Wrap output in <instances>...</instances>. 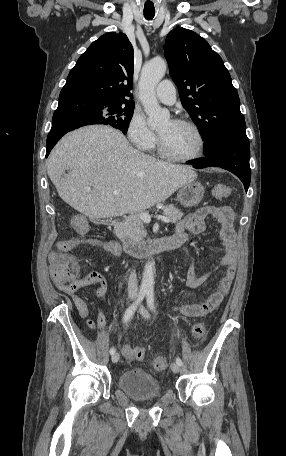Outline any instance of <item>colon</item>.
<instances>
[{
    "instance_id": "1",
    "label": "colon",
    "mask_w": 286,
    "mask_h": 456,
    "mask_svg": "<svg viewBox=\"0 0 286 456\" xmlns=\"http://www.w3.org/2000/svg\"><path fill=\"white\" fill-rule=\"evenodd\" d=\"M216 198L226 197L231 193L227 185H217L212 189ZM74 229L81 234L88 232L87 222L82 217H75L73 220ZM51 274L54 280L69 289H76L85 278V275L77 261L68 255H58L54 258L51 265ZM192 334L196 339H202L206 334V326L203 323H197L192 328ZM146 354L144 347L138 346L128 353L132 360H142ZM167 366V361L163 357H156L153 361V367L156 371H163Z\"/></svg>"
}]
</instances>
